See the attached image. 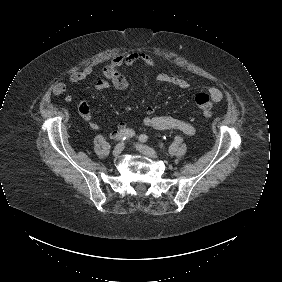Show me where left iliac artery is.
I'll return each instance as SVG.
<instances>
[{"mask_svg":"<svg viewBox=\"0 0 282 282\" xmlns=\"http://www.w3.org/2000/svg\"><path fill=\"white\" fill-rule=\"evenodd\" d=\"M139 140H140L141 142H146V141L148 140V136L145 135V134H141V135L139 136ZM159 145H160V148H161V149H164L163 143H160Z\"/></svg>","mask_w":282,"mask_h":282,"instance_id":"obj_1","label":"left iliac artery"}]
</instances>
